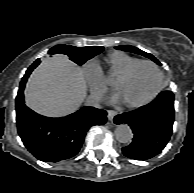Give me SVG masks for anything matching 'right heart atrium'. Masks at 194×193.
<instances>
[{"instance_id": "1", "label": "right heart atrium", "mask_w": 194, "mask_h": 193, "mask_svg": "<svg viewBox=\"0 0 194 193\" xmlns=\"http://www.w3.org/2000/svg\"><path fill=\"white\" fill-rule=\"evenodd\" d=\"M84 77L94 98H102L108 90L105 77L97 64L88 61L83 66Z\"/></svg>"}]
</instances>
